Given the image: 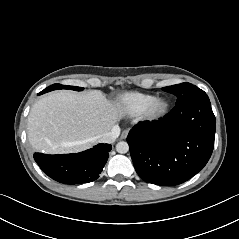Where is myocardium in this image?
<instances>
[{
  "instance_id": "f54148a6",
  "label": "myocardium",
  "mask_w": 239,
  "mask_h": 239,
  "mask_svg": "<svg viewBox=\"0 0 239 239\" xmlns=\"http://www.w3.org/2000/svg\"><path fill=\"white\" fill-rule=\"evenodd\" d=\"M170 104L164 97H154L144 108L141 115L150 122H156L164 118L169 111Z\"/></svg>"
}]
</instances>
